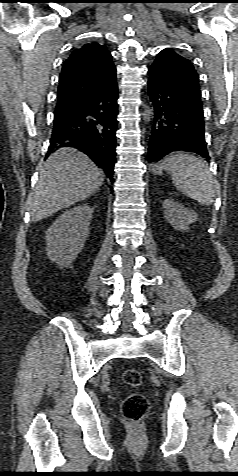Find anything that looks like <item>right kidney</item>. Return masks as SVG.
<instances>
[{"mask_svg":"<svg viewBox=\"0 0 238 476\" xmlns=\"http://www.w3.org/2000/svg\"><path fill=\"white\" fill-rule=\"evenodd\" d=\"M93 208L87 204L64 212L46 233L49 259L60 268L69 266L84 247L88 237Z\"/></svg>","mask_w":238,"mask_h":476,"instance_id":"ca27d5eb","label":"right kidney"}]
</instances>
